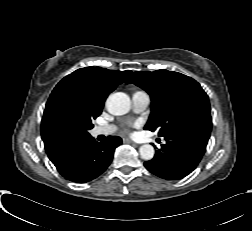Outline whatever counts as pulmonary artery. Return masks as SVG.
Listing matches in <instances>:
<instances>
[{
    "label": "pulmonary artery",
    "mask_w": 252,
    "mask_h": 231,
    "mask_svg": "<svg viewBox=\"0 0 252 231\" xmlns=\"http://www.w3.org/2000/svg\"><path fill=\"white\" fill-rule=\"evenodd\" d=\"M150 103V97L145 91H135L132 94V107L136 113L144 111ZM114 125H101L94 129V135H110L114 133Z\"/></svg>",
    "instance_id": "1"
}]
</instances>
